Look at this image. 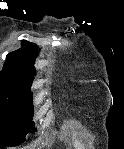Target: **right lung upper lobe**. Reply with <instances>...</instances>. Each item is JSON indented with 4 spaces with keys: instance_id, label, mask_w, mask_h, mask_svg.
<instances>
[{
    "instance_id": "obj_1",
    "label": "right lung upper lobe",
    "mask_w": 124,
    "mask_h": 149,
    "mask_svg": "<svg viewBox=\"0 0 124 149\" xmlns=\"http://www.w3.org/2000/svg\"><path fill=\"white\" fill-rule=\"evenodd\" d=\"M37 53L35 43L22 40V47L7 55L3 70L0 71V81L22 89L30 88L36 74L34 61Z\"/></svg>"
}]
</instances>
